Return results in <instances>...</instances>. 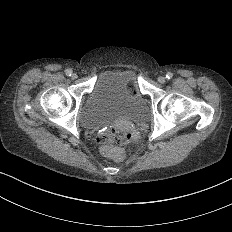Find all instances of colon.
<instances>
[{
    "label": "colon",
    "mask_w": 232,
    "mask_h": 232,
    "mask_svg": "<svg viewBox=\"0 0 232 232\" xmlns=\"http://www.w3.org/2000/svg\"><path fill=\"white\" fill-rule=\"evenodd\" d=\"M139 136V128L132 121L113 122L109 129H102L96 134L100 145L121 147L130 144Z\"/></svg>",
    "instance_id": "obj_1"
}]
</instances>
